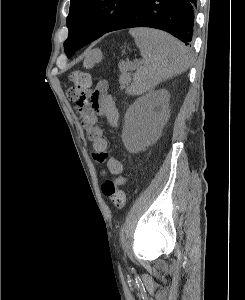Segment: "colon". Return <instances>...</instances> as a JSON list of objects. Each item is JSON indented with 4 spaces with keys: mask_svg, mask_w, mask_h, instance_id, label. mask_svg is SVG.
Instances as JSON below:
<instances>
[{
    "mask_svg": "<svg viewBox=\"0 0 245 300\" xmlns=\"http://www.w3.org/2000/svg\"><path fill=\"white\" fill-rule=\"evenodd\" d=\"M69 80L71 86L67 90V97L72 101H77L92 84L90 74L81 70L71 73ZM126 181L127 177H119L116 179L107 178L103 183L102 190L104 195L107 196L118 209H122L126 204V196L122 189Z\"/></svg>",
    "mask_w": 245,
    "mask_h": 300,
    "instance_id": "5ec220e1",
    "label": "colon"
}]
</instances>
